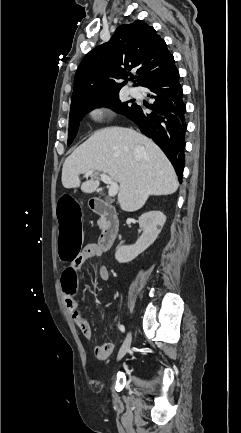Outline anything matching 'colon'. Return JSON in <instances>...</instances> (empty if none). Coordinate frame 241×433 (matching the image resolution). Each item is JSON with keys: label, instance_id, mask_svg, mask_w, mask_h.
<instances>
[{"label": "colon", "instance_id": "colon-1", "mask_svg": "<svg viewBox=\"0 0 241 433\" xmlns=\"http://www.w3.org/2000/svg\"><path fill=\"white\" fill-rule=\"evenodd\" d=\"M74 192H63L61 197L57 198L58 212H56V221H60L58 227V247L59 260L63 265H68L70 261H75L79 257L80 247H83L82 238V207L75 202ZM78 270L76 267H67L62 272L61 288L64 292L69 293V297L74 299L75 292L78 291L77 280Z\"/></svg>", "mask_w": 241, "mask_h": 433}]
</instances>
